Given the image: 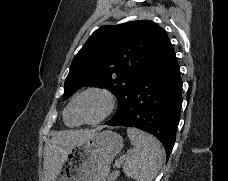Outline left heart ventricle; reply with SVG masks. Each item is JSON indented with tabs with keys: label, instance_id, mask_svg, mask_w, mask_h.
<instances>
[{
	"label": "left heart ventricle",
	"instance_id": "obj_1",
	"mask_svg": "<svg viewBox=\"0 0 228 181\" xmlns=\"http://www.w3.org/2000/svg\"><path fill=\"white\" fill-rule=\"evenodd\" d=\"M103 106V100L96 94L83 96L78 103V108L86 119H94L98 116Z\"/></svg>",
	"mask_w": 228,
	"mask_h": 181
}]
</instances>
